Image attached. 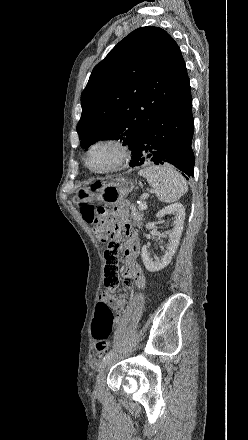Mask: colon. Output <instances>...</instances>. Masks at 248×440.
I'll return each mask as SVG.
<instances>
[{
	"mask_svg": "<svg viewBox=\"0 0 248 440\" xmlns=\"http://www.w3.org/2000/svg\"><path fill=\"white\" fill-rule=\"evenodd\" d=\"M98 184H93L92 188L96 189ZM82 217L94 226L97 238L107 243V249L104 252L106 257H119L122 250V244L114 235L112 222L105 217L106 212L102 208L87 203L80 206ZM105 284V283H104ZM114 324V315L111 308L104 302L98 301L96 305L95 318L92 324V334L96 340V351L99 355H103L108 351V338L111 334Z\"/></svg>",
	"mask_w": 248,
	"mask_h": 440,
	"instance_id": "colon-1",
	"label": "colon"
}]
</instances>
